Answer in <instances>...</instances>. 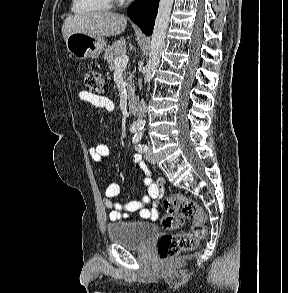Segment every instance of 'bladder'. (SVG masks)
Listing matches in <instances>:
<instances>
[{
  "instance_id": "1",
  "label": "bladder",
  "mask_w": 288,
  "mask_h": 293,
  "mask_svg": "<svg viewBox=\"0 0 288 293\" xmlns=\"http://www.w3.org/2000/svg\"><path fill=\"white\" fill-rule=\"evenodd\" d=\"M106 231L112 242L127 249L144 248L159 232L154 224L145 222L110 223Z\"/></svg>"
}]
</instances>
